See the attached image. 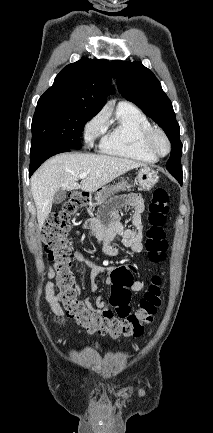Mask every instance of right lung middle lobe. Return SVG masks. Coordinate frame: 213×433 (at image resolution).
I'll return each instance as SVG.
<instances>
[{"label": "right lung middle lobe", "mask_w": 213, "mask_h": 433, "mask_svg": "<svg viewBox=\"0 0 213 433\" xmlns=\"http://www.w3.org/2000/svg\"><path fill=\"white\" fill-rule=\"evenodd\" d=\"M96 113L74 105L38 102L32 120L31 148L58 144L80 149V136L85 123Z\"/></svg>", "instance_id": "obj_1"}]
</instances>
